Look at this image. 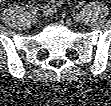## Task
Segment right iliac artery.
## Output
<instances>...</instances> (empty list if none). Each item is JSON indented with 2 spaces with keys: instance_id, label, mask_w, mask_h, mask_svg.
Returning a JSON list of instances; mask_svg holds the SVG:
<instances>
[{
  "instance_id": "right-iliac-artery-1",
  "label": "right iliac artery",
  "mask_w": 111,
  "mask_h": 106,
  "mask_svg": "<svg viewBox=\"0 0 111 106\" xmlns=\"http://www.w3.org/2000/svg\"><path fill=\"white\" fill-rule=\"evenodd\" d=\"M38 10H39L38 8L34 7V8L31 9V12L33 14H36L38 12Z\"/></svg>"
}]
</instances>
